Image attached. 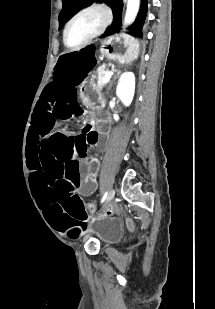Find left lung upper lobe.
<instances>
[{
	"label": "left lung upper lobe",
	"instance_id": "5c2ea615",
	"mask_svg": "<svg viewBox=\"0 0 215 309\" xmlns=\"http://www.w3.org/2000/svg\"><path fill=\"white\" fill-rule=\"evenodd\" d=\"M93 0H63V10L59 16L60 19V27H63L66 21H68L71 16L78 11L82 6ZM97 1H105L109 3L113 9L114 22L108 28V30L102 35V37L107 35H112L115 32L120 31L121 27V15L123 10V2L122 0H97ZM147 14V0H141V7L138 13L136 21L129 28V33L138 37H142V28L145 22Z\"/></svg>",
	"mask_w": 215,
	"mask_h": 309
}]
</instances>
